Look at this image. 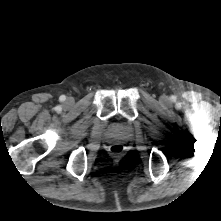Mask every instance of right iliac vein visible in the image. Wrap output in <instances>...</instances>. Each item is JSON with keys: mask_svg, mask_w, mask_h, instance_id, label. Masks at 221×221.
<instances>
[{"mask_svg": "<svg viewBox=\"0 0 221 221\" xmlns=\"http://www.w3.org/2000/svg\"><path fill=\"white\" fill-rule=\"evenodd\" d=\"M73 102V100L71 99V98H69L68 100H67V104H71Z\"/></svg>", "mask_w": 221, "mask_h": 221, "instance_id": "right-iliac-vein-1", "label": "right iliac vein"}]
</instances>
